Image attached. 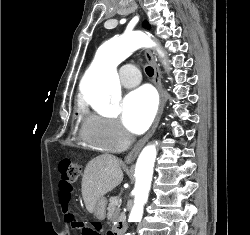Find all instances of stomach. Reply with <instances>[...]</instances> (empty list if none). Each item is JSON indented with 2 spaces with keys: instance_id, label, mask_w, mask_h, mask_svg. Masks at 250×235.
<instances>
[{
  "instance_id": "0dacf381",
  "label": "stomach",
  "mask_w": 250,
  "mask_h": 235,
  "mask_svg": "<svg viewBox=\"0 0 250 235\" xmlns=\"http://www.w3.org/2000/svg\"><path fill=\"white\" fill-rule=\"evenodd\" d=\"M107 200L102 197L100 198L94 207V216L98 220H104L105 219V210H106Z\"/></svg>"
}]
</instances>
